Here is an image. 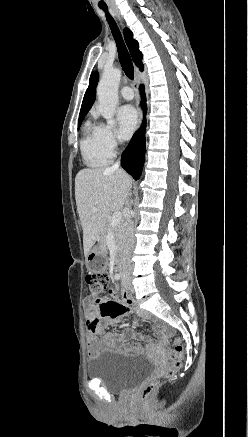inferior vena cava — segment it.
<instances>
[{
	"mask_svg": "<svg viewBox=\"0 0 248 437\" xmlns=\"http://www.w3.org/2000/svg\"><path fill=\"white\" fill-rule=\"evenodd\" d=\"M120 166V160L117 161L112 167V170H118ZM128 195L131 193L128 192ZM128 203V202H126ZM135 246L134 237V223L130 216H127L124 224V243L122 246V263L126 267H132L131 253Z\"/></svg>",
	"mask_w": 248,
	"mask_h": 437,
	"instance_id": "602c4592",
	"label": "inferior vena cava"
}]
</instances>
